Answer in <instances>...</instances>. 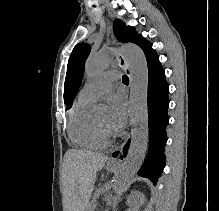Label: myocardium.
<instances>
[{"label": "myocardium", "instance_id": "myocardium-1", "mask_svg": "<svg viewBox=\"0 0 219 211\" xmlns=\"http://www.w3.org/2000/svg\"><path fill=\"white\" fill-rule=\"evenodd\" d=\"M96 124L105 137L113 138L115 136L109 125H103L98 120H96Z\"/></svg>", "mask_w": 219, "mask_h": 211}]
</instances>
